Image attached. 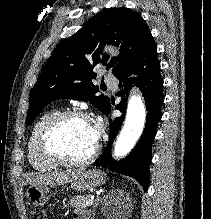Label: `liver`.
Returning a JSON list of instances; mask_svg holds the SVG:
<instances>
[{"label": "liver", "instance_id": "1", "mask_svg": "<svg viewBox=\"0 0 211 219\" xmlns=\"http://www.w3.org/2000/svg\"><path fill=\"white\" fill-rule=\"evenodd\" d=\"M82 170H66L64 172L40 174L29 178L27 182L33 186L63 185L75 180Z\"/></svg>", "mask_w": 211, "mask_h": 219}]
</instances>
